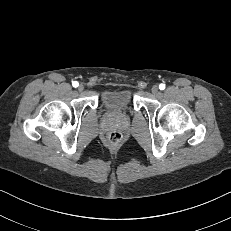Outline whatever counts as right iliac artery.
Returning a JSON list of instances; mask_svg holds the SVG:
<instances>
[{
    "label": "right iliac artery",
    "mask_w": 231,
    "mask_h": 231,
    "mask_svg": "<svg viewBox=\"0 0 231 231\" xmlns=\"http://www.w3.org/2000/svg\"><path fill=\"white\" fill-rule=\"evenodd\" d=\"M72 85H73V87H75V88H76V87H78L79 83H78L77 81H75V82H73V84H72Z\"/></svg>",
    "instance_id": "obj_1"
}]
</instances>
